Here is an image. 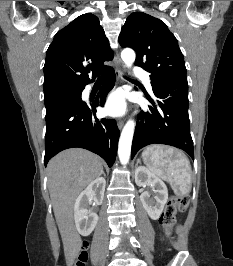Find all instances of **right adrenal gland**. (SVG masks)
Masks as SVG:
<instances>
[{"label":"right adrenal gland","instance_id":"obj_1","mask_svg":"<svg viewBox=\"0 0 233 266\" xmlns=\"http://www.w3.org/2000/svg\"><path fill=\"white\" fill-rule=\"evenodd\" d=\"M101 175L105 176V173H104V171H103V170H102V172H101Z\"/></svg>","mask_w":233,"mask_h":266}]
</instances>
